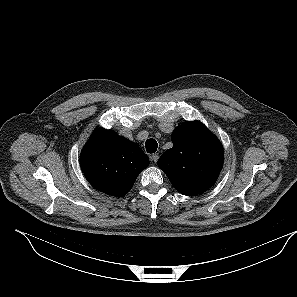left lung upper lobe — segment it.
I'll list each match as a JSON object with an SVG mask.
<instances>
[{
    "instance_id": "5c2ea615",
    "label": "left lung upper lobe",
    "mask_w": 297,
    "mask_h": 297,
    "mask_svg": "<svg viewBox=\"0 0 297 297\" xmlns=\"http://www.w3.org/2000/svg\"><path fill=\"white\" fill-rule=\"evenodd\" d=\"M173 147L158 160L172 185L184 195L208 190L217 180L224 162L220 141L199 121L185 122L172 134Z\"/></svg>"
}]
</instances>
